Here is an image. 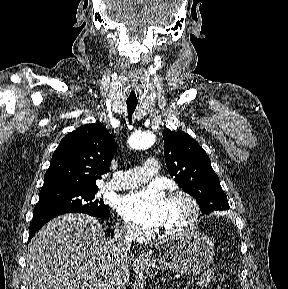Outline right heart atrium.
<instances>
[{
  "label": "right heart atrium",
  "mask_w": 288,
  "mask_h": 289,
  "mask_svg": "<svg viewBox=\"0 0 288 289\" xmlns=\"http://www.w3.org/2000/svg\"><path fill=\"white\" fill-rule=\"evenodd\" d=\"M118 229L121 234L131 240L141 238L145 233L142 228L132 225L128 222H119Z\"/></svg>",
  "instance_id": "right-heart-atrium-1"
}]
</instances>
